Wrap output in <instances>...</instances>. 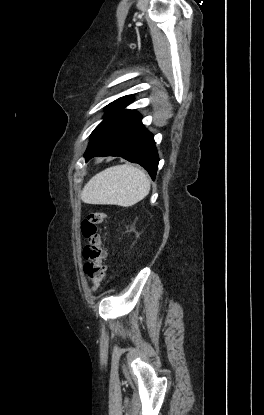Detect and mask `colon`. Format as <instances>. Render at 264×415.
<instances>
[{"instance_id": "colon-1", "label": "colon", "mask_w": 264, "mask_h": 415, "mask_svg": "<svg viewBox=\"0 0 264 415\" xmlns=\"http://www.w3.org/2000/svg\"><path fill=\"white\" fill-rule=\"evenodd\" d=\"M106 218L107 213L105 211L95 210L88 213L81 221V234L87 240L83 250L85 274L91 282L93 290L100 287L106 273L105 258L107 251L100 234L101 225Z\"/></svg>"}]
</instances>
